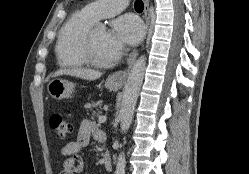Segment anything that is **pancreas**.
Returning a JSON list of instances; mask_svg holds the SVG:
<instances>
[{"mask_svg":"<svg viewBox=\"0 0 249 174\" xmlns=\"http://www.w3.org/2000/svg\"><path fill=\"white\" fill-rule=\"evenodd\" d=\"M84 107L87 110L93 111V115L96 114V111L98 112V114H100L101 109H103V101L102 100L92 101L91 103H86Z\"/></svg>","mask_w":249,"mask_h":174,"instance_id":"obj_1","label":"pancreas"}]
</instances>
